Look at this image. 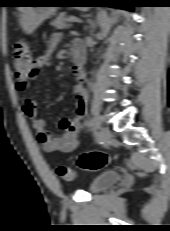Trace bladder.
<instances>
[{
	"instance_id": "31cf9c89",
	"label": "bladder",
	"mask_w": 170,
	"mask_h": 231,
	"mask_svg": "<svg viewBox=\"0 0 170 231\" xmlns=\"http://www.w3.org/2000/svg\"><path fill=\"white\" fill-rule=\"evenodd\" d=\"M119 179V172L115 170L106 171L91 180L89 184V191L93 194L102 192L112 187Z\"/></svg>"
}]
</instances>
